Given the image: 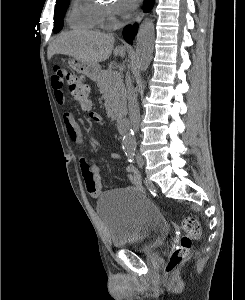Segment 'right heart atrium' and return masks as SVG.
I'll return each instance as SVG.
<instances>
[{"label":"right heart atrium","mask_w":245,"mask_h":300,"mask_svg":"<svg viewBox=\"0 0 245 300\" xmlns=\"http://www.w3.org/2000/svg\"><path fill=\"white\" fill-rule=\"evenodd\" d=\"M100 19L105 27L109 28L115 25L117 21V11L115 7L109 5H99Z\"/></svg>","instance_id":"right-heart-atrium-1"}]
</instances>
